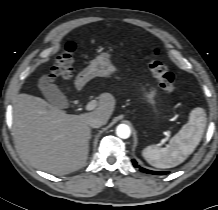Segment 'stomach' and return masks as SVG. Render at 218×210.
Here are the masks:
<instances>
[{
	"label": "stomach",
	"mask_w": 218,
	"mask_h": 210,
	"mask_svg": "<svg viewBox=\"0 0 218 210\" xmlns=\"http://www.w3.org/2000/svg\"><path fill=\"white\" fill-rule=\"evenodd\" d=\"M111 58L112 55L108 52L98 55L91 61V64L77 76L75 81L76 86L79 88L94 77H104L114 73L116 67L112 64ZM149 97L153 99L154 93L151 92ZM156 116L157 112L155 111V118Z\"/></svg>",
	"instance_id": "0dacf381"
}]
</instances>
